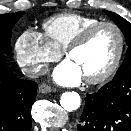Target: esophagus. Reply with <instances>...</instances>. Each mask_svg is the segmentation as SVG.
<instances>
[{
	"label": "esophagus",
	"mask_w": 131,
	"mask_h": 131,
	"mask_svg": "<svg viewBox=\"0 0 131 131\" xmlns=\"http://www.w3.org/2000/svg\"><path fill=\"white\" fill-rule=\"evenodd\" d=\"M52 91V88L47 84H41L39 86V92L40 93H49Z\"/></svg>",
	"instance_id": "obj_1"
}]
</instances>
